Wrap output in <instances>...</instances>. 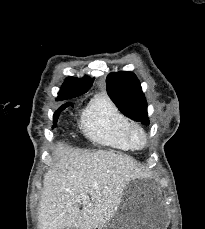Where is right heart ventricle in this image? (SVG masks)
Instances as JSON below:
<instances>
[{"label": "right heart ventricle", "mask_w": 205, "mask_h": 229, "mask_svg": "<svg viewBox=\"0 0 205 229\" xmlns=\"http://www.w3.org/2000/svg\"><path fill=\"white\" fill-rule=\"evenodd\" d=\"M131 124L118 106L104 94L91 100L82 118L83 129L91 140L122 151L132 148L127 140Z\"/></svg>", "instance_id": "obj_1"}]
</instances>
